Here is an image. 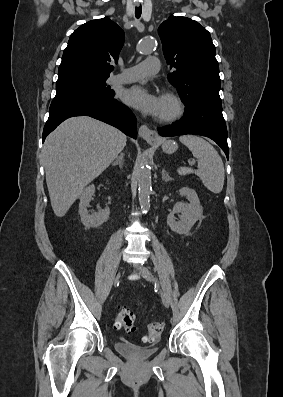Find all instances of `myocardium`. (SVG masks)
<instances>
[{"mask_svg": "<svg viewBox=\"0 0 283 397\" xmlns=\"http://www.w3.org/2000/svg\"><path fill=\"white\" fill-rule=\"evenodd\" d=\"M162 98L172 104V110L169 113L160 115L158 120L163 123H169L181 118L185 109L182 99L177 94L169 91L163 93Z\"/></svg>", "mask_w": 283, "mask_h": 397, "instance_id": "obj_1", "label": "myocardium"}]
</instances>
